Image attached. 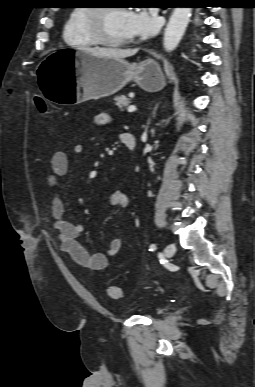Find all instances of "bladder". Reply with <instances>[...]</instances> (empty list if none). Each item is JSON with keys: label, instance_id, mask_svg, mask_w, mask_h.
I'll return each instance as SVG.
<instances>
[{"label": "bladder", "instance_id": "1", "mask_svg": "<svg viewBox=\"0 0 255 387\" xmlns=\"http://www.w3.org/2000/svg\"><path fill=\"white\" fill-rule=\"evenodd\" d=\"M134 311H137V312H140V313H143V314H147V313H149V310H147L146 308H144V307H135L134 309H133Z\"/></svg>", "mask_w": 255, "mask_h": 387}]
</instances>
